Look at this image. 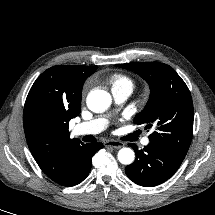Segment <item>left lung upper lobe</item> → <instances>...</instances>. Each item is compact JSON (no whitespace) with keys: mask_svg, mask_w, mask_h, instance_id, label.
Instances as JSON below:
<instances>
[{"mask_svg":"<svg viewBox=\"0 0 215 215\" xmlns=\"http://www.w3.org/2000/svg\"><path fill=\"white\" fill-rule=\"evenodd\" d=\"M138 73L150 87V98L142 112L134 119L155 129L149 135L151 143L158 144L172 154L184 158L193 134V103L190 91L169 65L157 62L117 64Z\"/></svg>","mask_w":215,"mask_h":215,"instance_id":"5c2ea615","label":"left lung upper lobe"}]
</instances>
